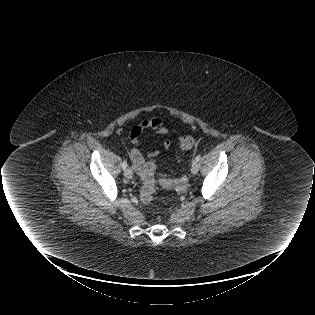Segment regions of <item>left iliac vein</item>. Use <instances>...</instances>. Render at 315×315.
Here are the masks:
<instances>
[{"instance_id":"left-iliac-vein-1","label":"left iliac vein","mask_w":315,"mask_h":315,"mask_svg":"<svg viewBox=\"0 0 315 315\" xmlns=\"http://www.w3.org/2000/svg\"><path fill=\"white\" fill-rule=\"evenodd\" d=\"M200 169V165L197 161H193L192 166H191V172L192 174H197Z\"/></svg>"}]
</instances>
